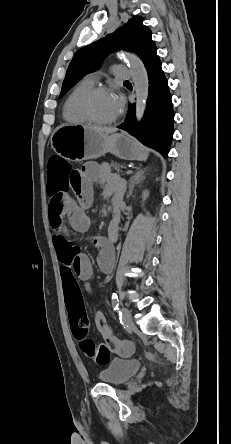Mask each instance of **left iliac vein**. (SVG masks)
I'll list each match as a JSON object with an SVG mask.
<instances>
[{"label":"left iliac vein","instance_id":"4c4485c4","mask_svg":"<svg viewBox=\"0 0 231 444\" xmlns=\"http://www.w3.org/2000/svg\"><path fill=\"white\" fill-rule=\"evenodd\" d=\"M121 311H122V318H123L125 325L126 326H133V318H132L131 312L125 307H122Z\"/></svg>","mask_w":231,"mask_h":444}]
</instances>
